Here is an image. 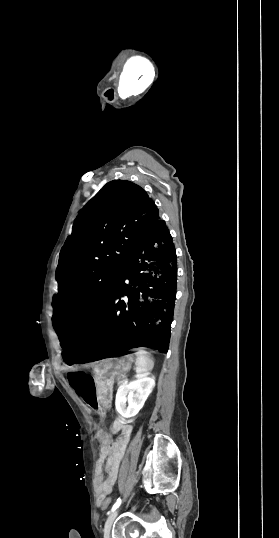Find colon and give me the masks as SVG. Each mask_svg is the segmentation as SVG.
<instances>
[{"instance_id": "1", "label": "colon", "mask_w": 279, "mask_h": 538, "mask_svg": "<svg viewBox=\"0 0 279 538\" xmlns=\"http://www.w3.org/2000/svg\"><path fill=\"white\" fill-rule=\"evenodd\" d=\"M107 440L110 441L111 438L110 436L107 437ZM111 504V500L110 498H105L103 501H102V508L103 509H107L109 507V505Z\"/></svg>"}]
</instances>
